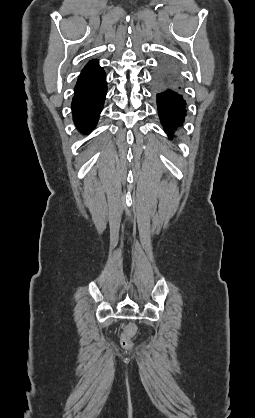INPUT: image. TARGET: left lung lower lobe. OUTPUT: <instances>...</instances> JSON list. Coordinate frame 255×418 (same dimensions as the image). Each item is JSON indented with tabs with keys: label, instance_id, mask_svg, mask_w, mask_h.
<instances>
[{
	"label": "left lung lower lobe",
	"instance_id": "obj_1",
	"mask_svg": "<svg viewBox=\"0 0 255 418\" xmlns=\"http://www.w3.org/2000/svg\"><path fill=\"white\" fill-rule=\"evenodd\" d=\"M158 113L165 131L170 138L174 130L181 126L186 116V101L176 68L164 62L157 75Z\"/></svg>",
	"mask_w": 255,
	"mask_h": 418
}]
</instances>
